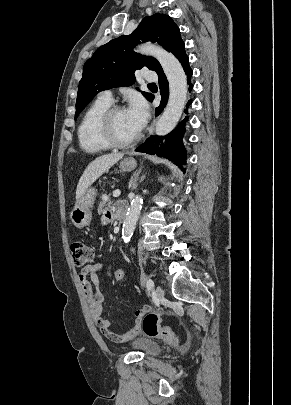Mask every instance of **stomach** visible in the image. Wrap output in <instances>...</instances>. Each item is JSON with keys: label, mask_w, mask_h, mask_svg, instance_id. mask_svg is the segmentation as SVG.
<instances>
[{"label": "stomach", "mask_w": 291, "mask_h": 405, "mask_svg": "<svg viewBox=\"0 0 291 405\" xmlns=\"http://www.w3.org/2000/svg\"><path fill=\"white\" fill-rule=\"evenodd\" d=\"M136 161L133 158H125L119 164L122 171L130 172L136 168ZM97 191L95 188H89L86 192L76 201L75 206L70 214L73 224L82 228L88 226L92 220L91 209L93 207Z\"/></svg>", "instance_id": "stomach-1"}]
</instances>
